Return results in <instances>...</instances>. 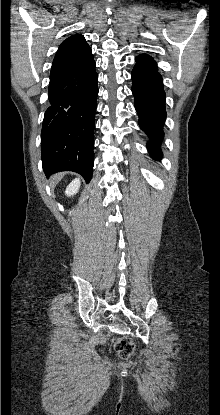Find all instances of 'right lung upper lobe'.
Instances as JSON below:
<instances>
[{
    "label": "right lung upper lobe",
    "instance_id": "cb5924a9",
    "mask_svg": "<svg viewBox=\"0 0 220 415\" xmlns=\"http://www.w3.org/2000/svg\"><path fill=\"white\" fill-rule=\"evenodd\" d=\"M93 59L92 51L81 34L61 43L53 60L50 77L58 76L85 65Z\"/></svg>",
    "mask_w": 220,
    "mask_h": 415
}]
</instances>
